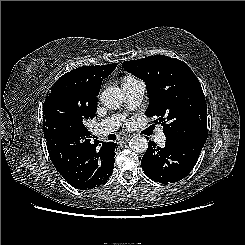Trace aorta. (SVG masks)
Instances as JSON below:
<instances>
[{
	"mask_svg": "<svg viewBox=\"0 0 245 245\" xmlns=\"http://www.w3.org/2000/svg\"><path fill=\"white\" fill-rule=\"evenodd\" d=\"M100 101L108 109H118L123 102V92L118 87L107 88L101 93ZM129 146L134 152L143 153L148 148V141L144 136H135Z\"/></svg>",
	"mask_w": 245,
	"mask_h": 245,
	"instance_id": "1",
	"label": "aorta"
}]
</instances>
